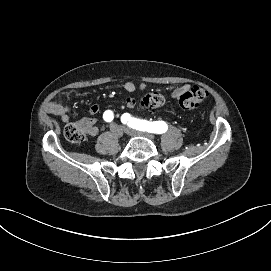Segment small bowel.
<instances>
[{
	"instance_id": "c3829d8e",
	"label": "small bowel",
	"mask_w": 271,
	"mask_h": 271,
	"mask_svg": "<svg viewBox=\"0 0 271 271\" xmlns=\"http://www.w3.org/2000/svg\"><path fill=\"white\" fill-rule=\"evenodd\" d=\"M145 85L141 84L138 86L139 89H144ZM136 85L133 82H126L124 84V89L127 92H133L136 90ZM190 86L189 85H183L181 87H178L174 89L171 93V98L177 99L179 98L185 91L189 90ZM124 104L129 107V108H134L136 107V100L132 97H126L124 99ZM47 111L48 113L55 115L61 119L63 123H68L69 122V114H70V109L63 105L60 104L56 101H52L48 104L47 106ZM100 111V106L98 104H94L90 107L89 112L91 115H95ZM81 124H83L86 127L87 134L90 136H95L98 134V127L96 126V120L94 118H86L82 120Z\"/></svg>"
}]
</instances>
